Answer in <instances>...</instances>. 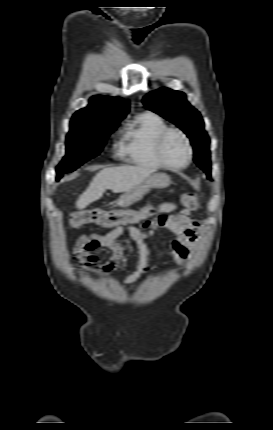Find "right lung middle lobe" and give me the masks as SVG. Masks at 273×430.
Here are the masks:
<instances>
[{"instance_id":"1","label":"right lung middle lobe","mask_w":273,"mask_h":430,"mask_svg":"<svg viewBox=\"0 0 273 430\" xmlns=\"http://www.w3.org/2000/svg\"><path fill=\"white\" fill-rule=\"evenodd\" d=\"M118 125L119 122H96L72 118L67 135V153L56 169L57 180L64 173L74 171L86 161L99 155L106 139Z\"/></svg>"}]
</instances>
